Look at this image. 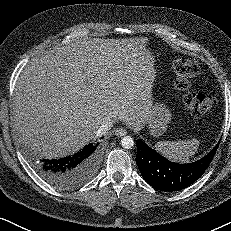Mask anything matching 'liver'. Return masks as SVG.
I'll return each instance as SVG.
<instances>
[{
    "mask_svg": "<svg viewBox=\"0 0 231 231\" xmlns=\"http://www.w3.org/2000/svg\"><path fill=\"white\" fill-rule=\"evenodd\" d=\"M148 38H80L34 58L17 81L13 114L27 146L61 158L97 137L105 122L140 130L156 77Z\"/></svg>",
    "mask_w": 231,
    "mask_h": 231,
    "instance_id": "liver-1",
    "label": "liver"
}]
</instances>
